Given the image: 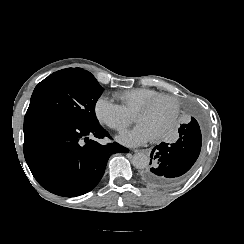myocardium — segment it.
I'll return each instance as SVG.
<instances>
[{"label":"myocardium","mask_w":244,"mask_h":244,"mask_svg":"<svg viewBox=\"0 0 244 244\" xmlns=\"http://www.w3.org/2000/svg\"><path fill=\"white\" fill-rule=\"evenodd\" d=\"M130 90H133L132 89H126V91H130ZM167 102L169 103L171 106H172V112H171V116L167 118L166 120V123H167V128L171 126V124L173 123L174 119H175V116H176V112H177V109H178V104L176 102V100L170 96H162V97H153L152 99L148 101H145L143 104H142V107H140L139 109H137L135 111V119H136V122L139 123L138 119L136 118L137 114L142 112V113H146L148 109L152 108L156 103L160 102V103H163V102ZM156 102V103H155ZM150 103V104H149ZM165 134V133H164ZM164 134L161 136L163 137Z\"/></svg>","instance_id":"obj_1"}]
</instances>
